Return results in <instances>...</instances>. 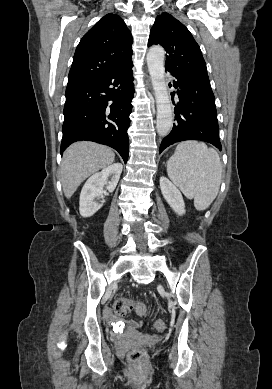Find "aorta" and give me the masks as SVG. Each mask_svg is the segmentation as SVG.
Here are the masks:
<instances>
[{"label": "aorta", "instance_id": "762f6f07", "mask_svg": "<svg viewBox=\"0 0 272 389\" xmlns=\"http://www.w3.org/2000/svg\"><path fill=\"white\" fill-rule=\"evenodd\" d=\"M164 49L157 45L150 47L147 53V65L157 104L156 129L160 136H166L173 125V110L167 91L164 71Z\"/></svg>", "mask_w": 272, "mask_h": 389}]
</instances>
